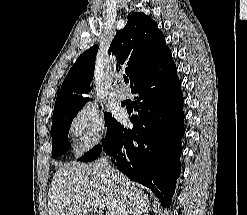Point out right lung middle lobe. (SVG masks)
I'll return each instance as SVG.
<instances>
[{"instance_id": "obj_1", "label": "right lung middle lobe", "mask_w": 247, "mask_h": 215, "mask_svg": "<svg viewBox=\"0 0 247 215\" xmlns=\"http://www.w3.org/2000/svg\"><path fill=\"white\" fill-rule=\"evenodd\" d=\"M86 102L78 103L72 107L63 109L55 114H53L51 136L52 142V157L56 158L64 154L70 147L68 141V132L73 118L78 113V110ZM114 120L111 114L105 115V121L107 126Z\"/></svg>"}]
</instances>
